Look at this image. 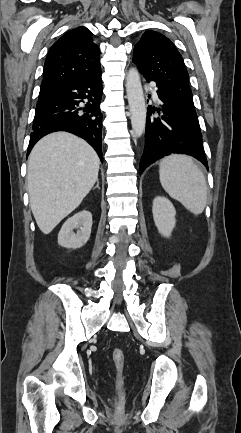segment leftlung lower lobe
<instances>
[{
	"mask_svg": "<svg viewBox=\"0 0 241 433\" xmlns=\"http://www.w3.org/2000/svg\"><path fill=\"white\" fill-rule=\"evenodd\" d=\"M156 93L160 105L156 108L148 106L145 145L139 172L142 173L150 164L173 153L191 155L208 169L199 125L160 89Z\"/></svg>",
	"mask_w": 241,
	"mask_h": 433,
	"instance_id": "obj_1",
	"label": "left lung lower lobe"
}]
</instances>
